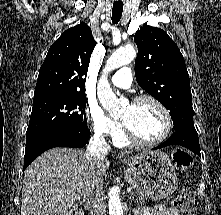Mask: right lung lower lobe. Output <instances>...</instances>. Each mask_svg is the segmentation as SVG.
Segmentation results:
<instances>
[{"mask_svg": "<svg viewBox=\"0 0 221 215\" xmlns=\"http://www.w3.org/2000/svg\"><path fill=\"white\" fill-rule=\"evenodd\" d=\"M90 138V130L76 133L43 132L26 138V149L23 170L39 155L54 147L80 148L86 145Z\"/></svg>", "mask_w": 221, "mask_h": 215, "instance_id": "obj_1", "label": "right lung lower lobe"}]
</instances>
